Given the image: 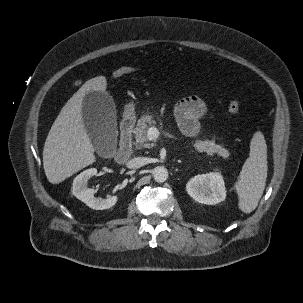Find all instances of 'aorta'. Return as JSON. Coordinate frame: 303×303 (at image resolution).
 Wrapping results in <instances>:
<instances>
[{
    "instance_id": "obj_1",
    "label": "aorta",
    "mask_w": 303,
    "mask_h": 303,
    "mask_svg": "<svg viewBox=\"0 0 303 303\" xmlns=\"http://www.w3.org/2000/svg\"><path fill=\"white\" fill-rule=\"evenodd\" d=\"M153 178L156 182H165L168 178V171L164 166H157L152 171Z\"/></svg>"
}]
</instances>
